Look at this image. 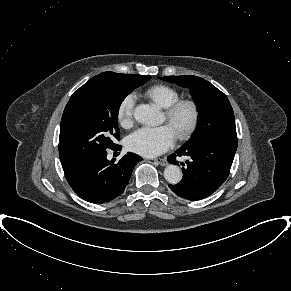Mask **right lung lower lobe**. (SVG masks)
<instances>
[{
    "label": "right lung lower lobe",
    "mask_w": 291,
    "mask_h": 291,
    "mask_svg": "<svg viewBox=\"0 0 291 291\" xmlns=\"http://www.w3.org/2000/svg\"><path fill=\"white\" fill-rule=\"evenodd\" d=\"M113 150H121L116 145ZM107 151L88 156L64 170L65 177L74 192L82 199L93 203L109 202L120 196L131 177L137 154L128 152L117 163L107 160Z\"/></svg>",
    "instance_id": "obj_1"
}]
</instances>
